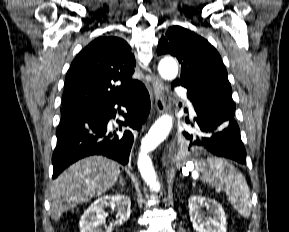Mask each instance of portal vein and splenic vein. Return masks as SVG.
I'll list each match as a JSON object with an SVG mask.
<instances>
[{"instance_id":"1","label":"portal vein and splenic vein","mask_w":289,"mask_h":232,"mask_svg":"<svg viewBox=\"0 0 289 232\" xmlns=\"http://www.w3.org/2000/svg\"><path fill=\"white\" fill-rule=\"evenodd\" d=\"M220 191H221V189H220V188H217V189H216V192H220Z\"/></svg>"}]
</instances>
